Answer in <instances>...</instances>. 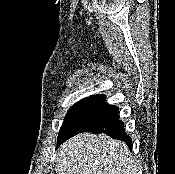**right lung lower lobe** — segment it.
Instances as JSON below:
<instances>
[{
	"instance_id": "obj_1",
	"label": "right lung lower lobe",
	"mask_w": 175,
	"mask_h": 174,
	"mask_svg": "<svg viewBox=\"0 0 175 174\" xmlns=\"http://www.w3.org/2000/svg\"><path fill=\"white\" fill-rule=\"evenodd\" d=\"M105 95L87 98L77 112L58 145L82 132L105 133L122 140L132 149V139L125 133L124 123L118 119V107L105 102Z\"/></svg>"
}]
</instances>
